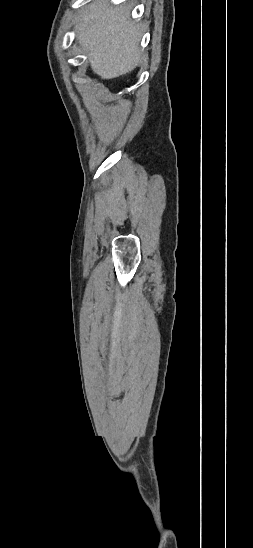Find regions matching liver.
Returning a JSON list of instances; mask_svg holds the SVG:
<instances>
[{"label": "liver", "mask_w": 253, "mask_h": 548, "mask_svg": "<svg viewBox=\"0 0 253 548\" xmlns=\"http://www.w3.org/2000/svg\"><path fill=\"white\" fill-rule=\"evenodd\" d=\"M126 5L107 0L91 3L79 17L77 40L88 54L90 66L102 79L131 72L139 63L142 28L130 20Z\"/></svg>", "instance_id": "1"}]
</instances>
